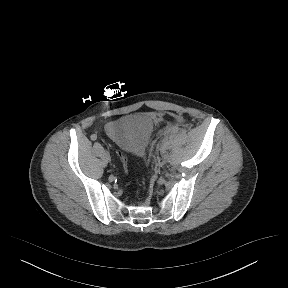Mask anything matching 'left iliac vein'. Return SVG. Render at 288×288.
Here are the masks:
<instances>
[{
    "mask_svg": "<svg viewBox=\"0 0 288 288\" xmlns=\"http://www.w3.org/2000/svg\"><path fill=\"white\" fill-rule=\"evenodd\" d=\"M161 156H162V158H163V159H165V158H166V153H165V151H164V150L162 151V154H161Z\"/></svg>",
    "mask_w": 288,
    "mask_h": 288,
    "instance_id": "obj_1",
    "label": "left iliac vein"
}]
</instances>
